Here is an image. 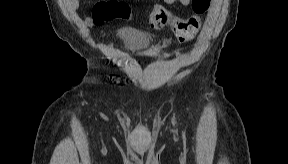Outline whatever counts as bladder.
<instances>
[{
	"instance_id": "1",
	"label": "bladder",
	"mask_w": 288,
	"mask_h": 164,
	"mask_svg": "<svg viewBox=\"0 0 288 164\" xmlns=\"http://www.w3.org/2000/svg\"><path fill=\"white\" fill-rule=\"evenodd\" d=\"M125 41L133 49L147 50L151 46V42L147 37L135 36L132 34L125 35Z\"/></svg>"
}]
</instances>
